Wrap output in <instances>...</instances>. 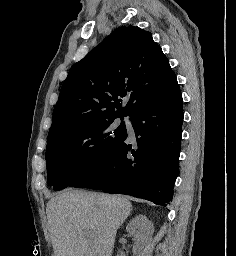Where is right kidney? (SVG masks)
Here are the masks:
<instances>
[{"label":"right kidney","instance_id":"ca27d5eb","mask_svg":"<svg viewBox=\"0 0 236 256\" xmlns=\"http://www.w3.org/2000/svg\"><path fill=\"white\" fill-rule=\"evenodd\" d=\"M129 234L134 236L133 254L134 256H145V250L149 248L154 234V226L146 216L139 214L131 220L126 228Z\"/></svg>","mask_w":236,"mask_h":256}]
</instances>
